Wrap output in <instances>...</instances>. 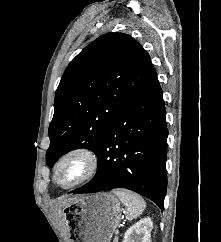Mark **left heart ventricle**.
<instances>
[{"instance_id":"b2bd125f","label":"left heart ventricle","mask_w":221,"mask_h":242,"mask_svg":"<svg viewBox=\"0 0 221 242\" xmlns=\"http://www.w3.org/2000/svg\"><path fill=\"white\" fill-rule=\"evenodd\" d=\"M81 171V162L78 159L67 161L59 171L58 182L61 184L71 183Z\"/></svg>"}]
</instances>
